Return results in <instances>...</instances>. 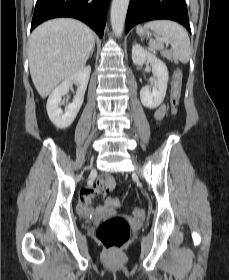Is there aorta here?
<instances>
[{
	"mask_svg": "<svg viewBox=\"0 0 229 280\" xmlns=\"http://www.w3.org/2000/svg\"><path fill=\"white\" fill-rule=\"evenodd\" d=\"M130 0H113L111 7V26L112 30L116 36H121L124 24L126 13L128 9Z\"/></svg>",
	"mask_w": 229,
	"mask_h": 280,
	"instance_id": "762f6f07",
	"label": "aorta"
}]
</instances>
